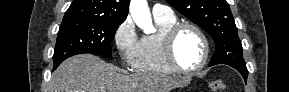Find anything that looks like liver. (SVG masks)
Instances as JSON below:
<instances>
[{
    "instance_id": "6515ba94",
    "label": "liver",
    "mask_w": 289,
    "mask_h": 92,
    "mask_svg": "<svg viewBox=\"0 0 289 92\" xmlns=\"http://www.w3.org/2000/svg\"><path fill=\"white\" fill-rule=\"evenodd\" d=\"M184 79L156 74L124 75L111 63L92 54L64 61L52 74L49 92H170Z\"/></svg>"
}]
</instances>
